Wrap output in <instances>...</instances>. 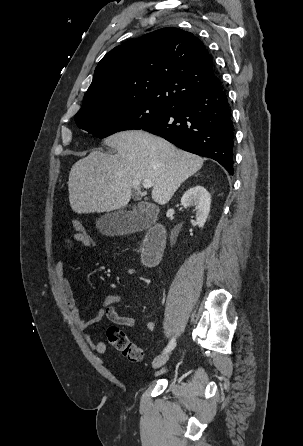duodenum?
<instances>
[{"instance_id": "duodenum-1", "label": "duodenum", "mask_w": 303, "mask_h": 446, "mask_svg": "<svg viewBox=\"0 0 303 446\" xmlns=\"http://www.w3.org/2000/svg\"><path fill=\"white\" fill-rule=\"evenodd\" d=\"M166 247V231L161 224L150 227L144 237L141 249L142 262L155 266L161 259Z\"/></svg>"}]
</instances>
